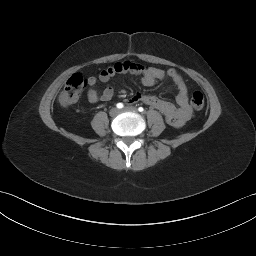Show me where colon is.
Here are the masks:
<instances>
[{
  "instance_id": "5ec220e1",
  "label": "colon",
  "mask_w": 256,
  "mask_h": 256,
  "mask_svg": "<svg viewBox=\"0 0 256 256\" xmlns=\"http://www.w3.org/2000/svg\"><path fill=\"white\" fill-rule=\"evenodd\" d=\"M86 86V80L80 73H74L67 80L60 96L59 102L63 106H69L76 103ZM191 104L194 109L201 110L205 105V97L203 93L196 91L192 94Z\"/></svg>"
}]
</instances>
